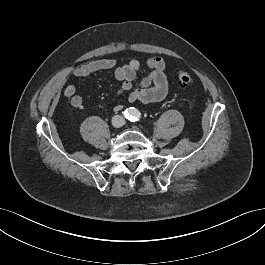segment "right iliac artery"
I'll return each instance as SVG.
<instances>
[{
  "instance_id": "right-iliac-artery-1",
  "label": "right iliac artery",
  "mask_w": 265,
  "mask_h": 265,
  "mask_svg": "<svg viewBox=\"0 0 265 265\" xmlns=\"http://www.w3.org/2000/svg\"><path fill=\"white\" fill-rule=\"evenodd\" d=\"M124 116H125V118H128L129 117V112L127 110L124 111Z\"/></svg>"
}]
</instances>
